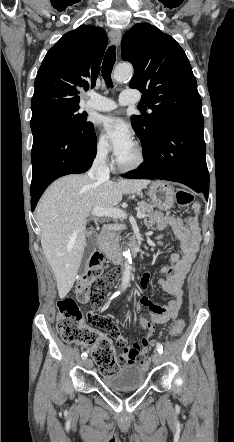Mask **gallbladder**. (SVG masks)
Returning a JSON list of instances; mask_svg holds the SVG:
<instances>
[{
	"mask_svg": "<svg viewBox=\"0 0 234 442\" xmlns=\"http://www.w3.org/2000/svg\"><path fill=\"white\" fill-rule=\"evenodd\" d=\"M95 248H96L95 238L93 236H89L85 246L83 258L79 267V274H82L85 271L87 261L94 252Z\"/></svg>",
	"mask_w": 234,
	"mask_h": 442,
	"instance_id": "1",
	"label": "gallbladder"
}]
</instances>
